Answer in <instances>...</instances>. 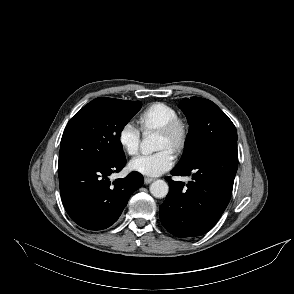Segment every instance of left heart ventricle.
I'll return each instance as SVG.
<instances>
[{
  "mask_svg": "<svg viewBox=\"0 0 294 294\" xmlns=\"http://www.w3.org/2000/svg\"><path fill=\"white\" fill-rule=\"evenodd\" d=\"M157 148L160 150L166 148L171 149V140L162 134H158Z\"/></svg>",
  "mask_w": 294,
  "mask_h": 294,
  "instance_id": "1",
  "label": "left heart ventricle"
}]
</instances>
